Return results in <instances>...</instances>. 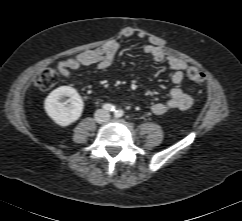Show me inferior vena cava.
I'll list each match as a JSON object with an SVG mask.
<instances>
[{"instance_id": "inferior-vena-cava-1", "label": "inferior vena cava", "mask_w": 242, "mask_h": 221, "mask_svg": "<svg viewBox=\"0 0 242 221\" xmlns=\"http://www.w3.org/2000/svg\"><path fill=\"white\" fill-rule=\"evenodd\" d=\"M110 118V114L107 110L99 109L95 112V119L102 123V122H108Z\"/></svg>"}]
</instances>
